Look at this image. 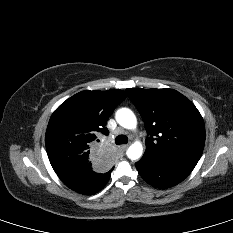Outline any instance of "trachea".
<instances>
[{
  "label": "trachea",
  "mask_w": 233,
  "mask_h": 233,
  "mask_svg": "<svg viewBox=\"0 0 233 233\" xmlns=\"http://www.w3.org/2000/svg\"><path fill=\"white\" fill-rule=\"evenodd\" d=\"M116 144H127L128 143V137L126 135H119L116 137L115 140Z\"/></svg>",
  "instance_id": "trachea-1"
}]
</instances>
